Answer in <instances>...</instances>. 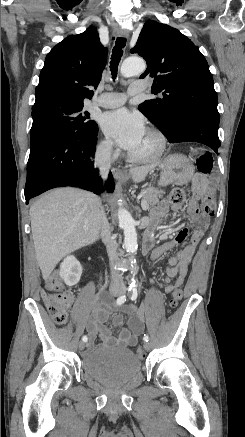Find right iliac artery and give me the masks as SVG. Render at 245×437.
I'll return each instance as SVG.
<instances>
[{
  "label": "right iliac artery",
  "instance_id": "1",
  "mask_svg": "<svg viewBox=\"0 0 245 437\" xmlns=\"http://www.w3.org/2000/svg\"><path fill=\"white\" fill-rule=\"evenodd\" d=\"M125 301H126V296H125V295H122V296H120V297L116 300V304H117V305H121V304H123ZM87 340H88V337H87L86 335H84V336L82 337V341H83V342H87Z\"/></svg>",
  "mask_w": 245,
  "mask_h": 437
}]
</instances>
